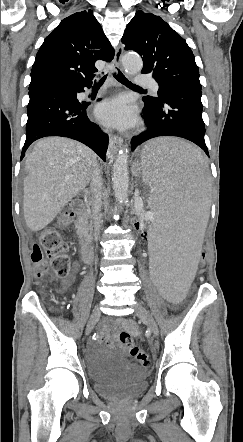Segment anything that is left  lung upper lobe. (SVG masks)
<instances>
[{
	"instance_id": "1",
	"label": "left lung upper lobe",
	"mask_w": 243,
	"mask_h": 442,
	"mask_svg": "<svg viewBox=\"0 0 243 442\" xmlns=\"http://www.w3.org/2000/svg\"><path fill=\"white\" fill-rule=\"evenodd\" d=\"M122 42L126 50L142 56V73H151L159 89L174 81L200 83L198 66L190 47L159 16L138 11L127 25ZM143 100L156 103L159 98L147 96Z\"/></svg>"
}]
</instances>
